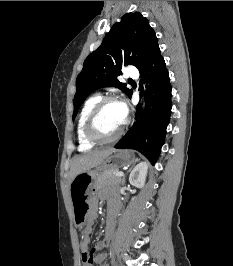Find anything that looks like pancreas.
I'll return each mask as SVG.
<instances>
[{
	"label": "pancreas",
	"mask_w": 233,
	"mask_h": 266,
	"mask_svg": "<svg viewBox=\"0 0 233 266\" xmlns=\"http://www.w3.org/2000/svg\"><path fill=\"white\" fill-rule=\"evenodd\" d=\"M117 171L109 172L103 171L101 172L96 179V188L101 189L107 186L117 187L121 184V177L116 176Z\"/></svg>",
	"instance_id": "pancreas-1"
}]
</instances>
